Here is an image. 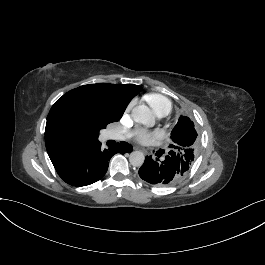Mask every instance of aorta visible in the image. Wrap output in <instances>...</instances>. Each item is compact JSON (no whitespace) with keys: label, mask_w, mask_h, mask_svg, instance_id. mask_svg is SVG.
<instances>
[{"label":"aorta","mask_w":265,"mask_h":265,"mask_svg":"<svg viewBox=\"0 0 265 265\" xmlns=\"http://www.w3.org/2000/svg\"><path fill=\"white\" fill-rule=\"evenodd\" d=\"M132 117L135 122L143 124L145 126H153L155 123L154 115L146 105L136 106L132 110ZM144 160L145 156L140 151H133L129 157L130 164L135 167L142 166Z\"/></svg>","instance_id":"1"}]
</instances>
